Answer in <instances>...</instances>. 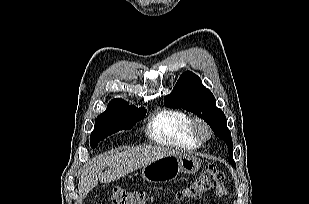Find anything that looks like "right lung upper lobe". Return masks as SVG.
Masks as SVG:
<instances>
[{
  "label": "right lung upper lobe",
  "instance_id": "right-lung-upper-lobe-1",
  "mask_svg": "<svg viewBox=\"0 0 309 204\" xmlns=\"http://www.w3.org/2000/svg\"><path fill=\"white\" fill-rule=\"evenodd\" d=\"M121 101H124V100H122V99H114L113 101H111L109 103V105H112V104H115V103H118V102H121Z\"/></svg>",
  "mask_w": 309,
  "mask_h": 204
}]
</instances>
